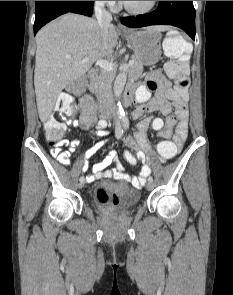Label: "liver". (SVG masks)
<instances>
[{
    "instance_id": "1",
    "label": "liver",
    "mask_w": 233,
    "mask_h": 295,
    "mask_svg": "<svg viewBox=\"0 0 233 295\" xmlns=\"http://www.w3.org/2000/svg\"><path fill=\"white\" fill-rule=\"evenodd\" d=\"M156 29L165 31L168 27ZM36 44L34 87L39 118L45 122L62 90L83 77L95 60L111 56L109 50L117 44V32L110 25L105 36L95 19L67 13L39 30ZM85 57L87 62L82 61Z\"/></svg>"
}]
</instances>
